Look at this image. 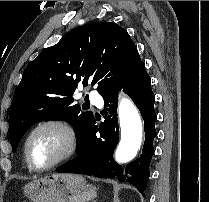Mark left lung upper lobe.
I'll return each instance as SVG.
<instances>
[{
  "instance_id": "left-lung-upper-lobe-1",
  "label": "left lung upper lobe",
  "mask_w": 209,
  "mask_h": 202,
  "mask_svg": "<svg viewBox=\"0 0 209 202\" xmlns=\"http://www.w3.org/2000/svg\"><path fill=\"white\" fill-rule=\"evenodd\" d=\"M126 30L115 23H91L74 29L31 61L15 90L9 112V138L15 152L35 123L66 120L77 142L94 120L93 112L72 105L78 85H97L103 95L142 64ZM107 74L106 79H102Z\"/></svg>"
}]
</instances>
